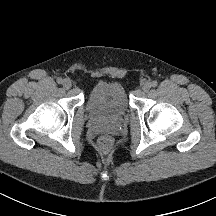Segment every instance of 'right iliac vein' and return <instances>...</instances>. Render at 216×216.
<instances>
[{"label": "right iliac vein", "mask_w": 216, "mask_h": 216, "mask_svg": "<svg viewBox=\"0 0 216 216\" xmlns=\"http://www.w3.org/2000/svg\"><path fill=\"white\" fill-rule=\"evenodd\" d=\"M71 86H72V83H71V81H70L69 79H65V80L63 81V87H64L65 89H69Z\"/></svg>", "instance_id": "1"}]
</instances>
